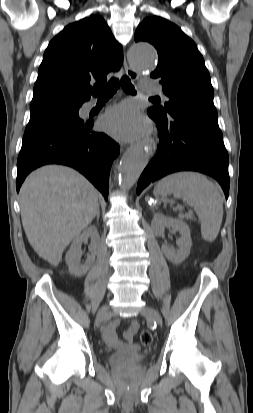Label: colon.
Segmentation results:
<instances>
[{"label":"colon","mask_w":253,"mask_h":413,"mask_svg":"<svg viewBox=\"0 0 253 413\" xmlns=\"http://www.w3.org/2000/svg\"><path fill=\"white\" fill-rule=\"evenodd\" d=\"M139 339H140V342L143 345H148L152 342L153 336H152L151 332H149L147 330H144L140 333Z\"/></svg>","instance_id":"5ec220e1"}]
</instances>
